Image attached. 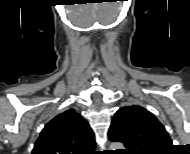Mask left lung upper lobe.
<instances>
[{"label":"left lung upper lobe","mask_w":190,"mask_h":154,"mask_svg":"<svg viewBox=\"0 0 190 154\" xmlns=\"http://www.w3.org/2000/svg\"><path fill=\"white\" fill-rule=\"evenodd\" d=\"M109 139L122 142L129 154H158L172 148L164 126L139 105L120 108L114 115Z\"/></svg>","instance_id":"1"}]
</instances>
